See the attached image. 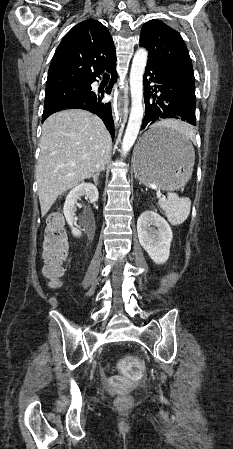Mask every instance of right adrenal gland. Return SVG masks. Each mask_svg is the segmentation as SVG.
I'll list each match as a JSON object with an SVG mask.
<instances>
[{
    "label": "right adrenal gland",
    "mask_w": 233,
    "mask_h": 449,
    "mask_svg": "<svg viewBox=\"0 0 233 449\" xmlns=\"http://www.w3.org/2000/svg\"><path fill=\"white\" fill-rule=\"evenodd\" d=\"M105 170V167L103 166V167H101V169H99L97 172H96V174H94L92 177H93V180H94V183L97 185V183H98V177H99V175H100V173L102 172V171H104Z\"/></svg>",
    "instance_id": "2a0ac1e0"
}]
</instances>
